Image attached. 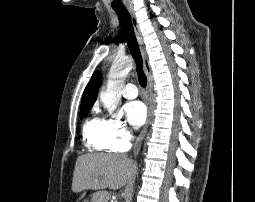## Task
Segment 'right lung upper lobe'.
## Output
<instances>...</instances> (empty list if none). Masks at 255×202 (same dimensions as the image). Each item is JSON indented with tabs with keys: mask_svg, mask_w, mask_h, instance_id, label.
<instances>
[{
	"mask_svg": "<svg viewBox=\"0 0 255 202\" xmlns=\"http://www.w3.org/2000/svg\"><path fill=\"white\" fill-rule=\"evenodd\" d=\"M102 81V74L101 72H95L89 83L87 84L83 96H82V102L81 107H87L94 104L96 97H97V91L100 87Z\"/></svg>",
	"mask_w": 255,
	"mask_h": 202,
	"instance_id": "right-lung-upper-lobe-1",
	"label": "right lung upper lobe"
}]
</instances>
